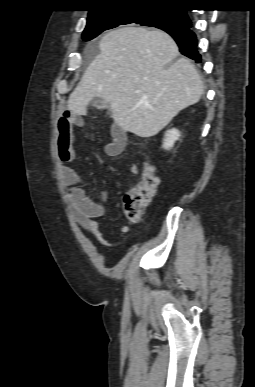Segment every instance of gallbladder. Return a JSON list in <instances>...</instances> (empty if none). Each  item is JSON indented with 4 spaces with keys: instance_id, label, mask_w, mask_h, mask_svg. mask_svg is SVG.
<instances>
[{
    "instance_id": "bac80fb5",
    "label": "gallbladder",
    "mask_w": 255,
    "mask_h": 387,
    "mask_svg": "<svg viewBox=\"0 0 255 387\" xmlns=\"http://www.w3.org/2000/svg\"><path fill=\"white\" fill-rule=\"evenodd\" d=\"M91 105L98 109L109 108V103L102 98H93L91 101Z\"/></svg>"
}]
</instances>
